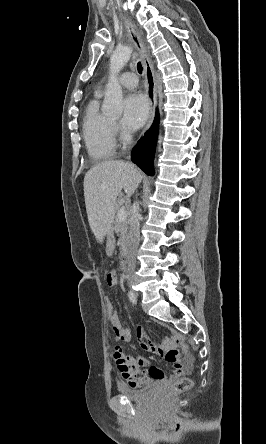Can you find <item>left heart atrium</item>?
I'll use <instances>...</instances> for the list:
<instances>
[{
    "label": "left heart atrium",
    "instance_id": "1",
    "mask_svg": "<svg viewBox=\"0 0 266 444\" xmlns=\"http://www.w3.org/2000/svg\"><path fill=\"white\" fill-rule=\"evenodd\" d=\"M149 104L140 93H132L124 100L123 125L131 130L140 128L147 120Z\"/></svg>",
    "mask_w": 266,
    "mask_h": 444
}]
</instances>
